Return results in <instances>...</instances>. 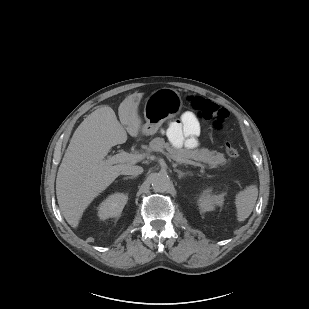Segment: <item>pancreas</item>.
Returning a JSON list of instances; mask_svg holds the SVG:
<instances>
[{
	"instance_id": "cf45deb5",
	"label": "pancreas",
	"mask_w": 309,
	"mask_h": 309,
	"mask_svg": "<svg viewBox=\"0 0 309 309\" xmlns=\"http://www.w3.org/2000/svg\"><path fill=\"white\" fill-rule=\"evenodd\" d=\"M149 151L162 152L167 158L172 159L178 163H189L190 159L201 161L209 164L211 167L217 168L225 166L227 159L224 154L210 151L205 148L188 150L185 148H174L169 143H166L163 138H154L149 144ZM165 150L167 152H165Z\"/></svg>"
}]
</instances>
